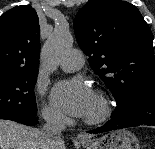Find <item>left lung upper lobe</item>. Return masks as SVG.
Masks as SVG:
<instances>
[{
	"label": "left lung upper lobe",
	"mask_w": 155,
	"mask_h": 149,
	"mask_svg": "<svg viewBox=\"0 0 155 149\" xmlns=\"http://www.w3.org/2000/svg\"><path fill=\"white\" fill-rule=\"evenodd\" d=\"M74 31L89 63L117 102L155 86L153 34L139 10L119 0H89L74 19Z\"/></svg>",
	"instance_id": "left-lung-upper-lobe-1"
}]
</instances>
